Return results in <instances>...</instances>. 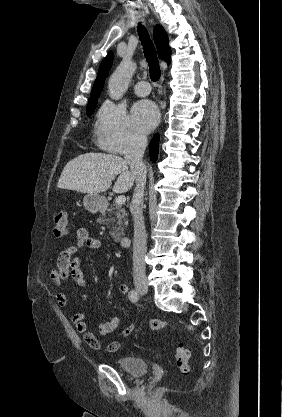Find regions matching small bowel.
I'll return each mask as SVG.
<instances>
[{"label": "small bowel", "instance_id": "small-bowel-1", "mask_svg": "<svg viewBox=\"0 0 282 417\" xmlns=\"http://www.w3.org/2000/svg\"><path fill=\"white\" fill-rule=\"evenodd\" d=\"M82 248L90 250H99L101 248L100 240L90 236L85 228H79L77 230V246L62 251L58 255L55 267L51 271L50 278L55 286L54 298L62 308L67 307L68 304L67 296L62 290L63 282L71 278L78 286L83 287L85 285L84 273L81 269V256L79 254V250ZM118 290L123 295H128L130 287L127 283L122 282L119 283ZM72 322L77 332L82 335L84 342L91 349L101 353H114L118 351L121 347L122 339L129 337L136 326V322H132L122 330L121 338L103 342L88 330L84 313L79 312L74 314L72 316ZM118 325L119 319L116 316H111L107 321L98 325V334L101 336L108 335L116 330Z\"/></svg>", "mask_w": 282, "mask_h": 417}]
</instances>
